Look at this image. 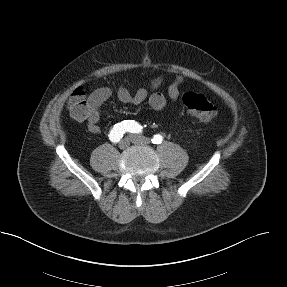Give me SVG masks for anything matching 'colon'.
<instances>
[{
    "label": "colon",
    "instance_id": "colon-1",
    "mask_svg": "<svg viewBox=\"0 0 287 287\" xmlns=\"http://www.w3.org/2000/svg\"><path fill=\"white\" fill-rule=\"evenodd\" d=\"M187 112L203 122H212L217 117V108L204 95L187 92L182 97ZM71 116L78 121H84L89 115V103L85 91L76 89L68 102Z\"/></svg>",
    "mask_w": 287,
    "mask_h": 287
}]
</instances>
